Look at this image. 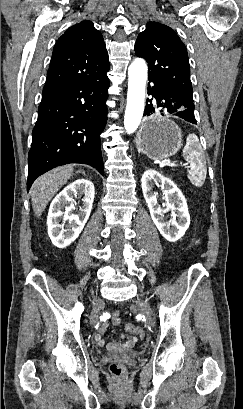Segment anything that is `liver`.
Instances as JSON below:
<instances>
[{"label":"liver","instance_id":"1","mask_svg":"<svg viewBox=\"0 0 243 409\" xmlns=\"http://www.w3.org/2000/svg\"><path fill=\"white\" fill-rule=\"evenodd\" d=\"M73 173L72 165L55 168L35 180L31 188L32 208L40 217L52 197L67 183Z\"/></svg>","mask_w":243,"mask_h":409}]
</instances>
